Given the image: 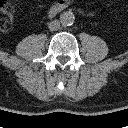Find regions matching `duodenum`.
I'll return each instance as SVG.
<instances>
[{"label": "duodenum", "mask_w": 128, "mask_h": 128, "mask_svg": "<svg viewBox=\"0 0 128 128\" xmlns=\"http://www.w3.org/2000/svg\"><path fill=\"white\" fill-rule=\"evenodd\" d=\"M69 5L68 0H59L55 4L52 5V7L49 10V16H55L57 13L63 11L66 9Z\"/></svg>", "instance_id": "duodenum-1"}]
</instances>
